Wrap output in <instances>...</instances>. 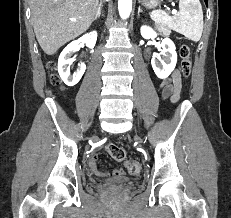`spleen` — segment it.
Here are the masks:
<instances>
[{"label": "spleen", "instance_id": "obj_1", "mask_svg": "<svg viewBox=\"0 0 231 218\" xmlns=\"http://www.w3.org/2000/svg\"><path fill=\"white\" fill-rule=\"evenodd\" d=\"M151 18L169 26L192 41H199L203 32V11L199 0H179V12L169 16L165 11L154 10Z\"/></svg>", "mask_w": 231, "mask_h": 218}]
</instances>
